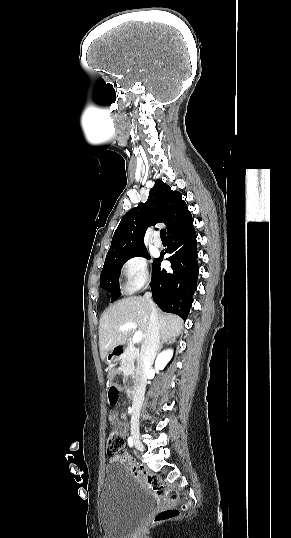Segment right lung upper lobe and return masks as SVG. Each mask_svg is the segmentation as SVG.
Wrapping results in <instances>:
<instances>
[{"label": "right lung upper lobe", "mask_w": 291, "mask_h": 538, "mask_svg": "<svg viewBox=\"0 0 291 538\" xmlns=\"http://www.w3.org/2000/svg\"><path fill=\"white\" fill-rule=\"evenodd\" d=\"M192 220L182 194L172 191L163 181L156 180L146 203L132 208L121 219L105 260L146 249L144 235L148 226L163 222L168 236Z\"/></svg>", "instance_id": "cb5924a9"}]
</instances>
